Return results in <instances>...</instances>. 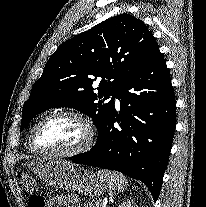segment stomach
Returning <instances> with one entry per match:
<instances>
[{
  "label": "stomach",
  "instance_id": "1",
  "mask_svg": "<svg viewBox=\"0 0 206 207\" xmlns=\"http://www.w3.org/2000/svg\"><path fill=\"white\" fill-rule=\"evenodd\" d=\"M28 168L48 185L77 191L88 197L97 198L112 190L109 181L98 174L69 162L41 158L27 164Z\"/></svg>",
  "mask_w": 206,
  "mask_h": 207
}]
</instances>
